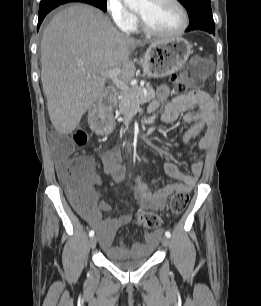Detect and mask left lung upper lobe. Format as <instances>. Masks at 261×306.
Returning a JSON list of instances; mask_svg holds the SVG:
<instances>
[{"mask_svg":"<svg viewBox=\"0 0 261 306\" xmlns=\"http://www.w3.org/2000/svg\"><path fill=\"white\" fill-rule=\"evenodd\" d=\"M184 7H186L190 24H207L215 26L212 17L210 0H178Z\"/></svg>","mask_w":261,"mask_h":306,"instance_id":"1","label":"left lung upper lobe"}]
</instances>
